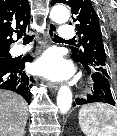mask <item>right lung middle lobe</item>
Returning <instances> with one entry per match:
<instances>
[{
	"mask_svg": "<svg viewBox=\"0 0 117 136\" xmlns=\"http://www.w3.org/2000/svg\"><path fill=\"white\" fill-rule=\"evenodd\" d=\"M8 52L9 51L0 52V61L10 62L13 60V58Z\"/></svg>",
	"mask_w": 117,
	"mask_h": 136,
	"instance_id": "1",
	"label": "right lung middle lobe"
}]
</instances>
